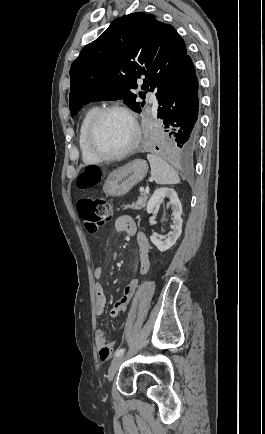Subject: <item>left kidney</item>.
Segmentation results:
<instances>
[{"mask_svg":"<svg viewBox=\"0 0 265 434\" xmlns=\"http://www.w3.org/2000/svg\"><path fill=\"white\" fill-rule=\"evenodd\" d=\"M163 198H168L169 204L172 206V216H174V218L173 224L171 226L172 232H170L166 240H158L156 236H150L152 244H154V246H156L160 252H166V250H169V248H172V246L176 244L178 238H180L182 234L183 224V220L181 218V202L173 188H158V190H155L147 204V214H157L156 206H158L160 200H163Z\"/></svg>","mask_w":265,"mask_h":434,"instance_id":"1","label":"left kidney"}]
</instances>
